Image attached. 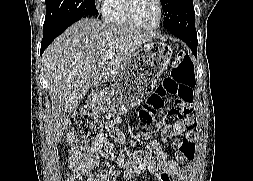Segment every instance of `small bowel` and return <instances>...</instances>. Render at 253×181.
<instances>
[{"label":"small bowel","instance_id":"c3829d8e","mask_svg":"<svg viewBox=\"0 0 253 181\" xmlns=\"http://www.w3.org/2000/svg\"><path fill=\"white\" fill-rule=\"evenodd\" d=\"M110 136L118 143L125 144L126 138L114 122L106 125ZM175 135L186 133L185 138L177 145L178 155L175 160L162 159L149 166L153 174L150 181H188L189 173L195 161V140L193 134L192 118L175 122L171 127ZM98 157L94 153H87L78 148L68 150V163L72 170L71 181H110L115 176V171L102 169L95 171ZM138 172V168L128 165L124 170V177L132 179Z\"/></svg>","mask_w":253,"mask_h":181}]
</instances>
